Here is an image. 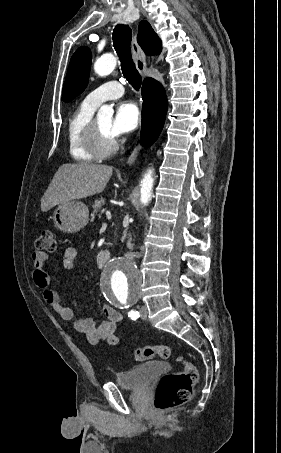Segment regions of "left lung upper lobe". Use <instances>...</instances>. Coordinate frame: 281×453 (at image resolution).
<instances>
[{
  "mask_svg": "<svg viewBox=\"0 0 281 453\" xmlns=\"http://www.w3.org/2000/svg\"><path fill=\"white\" fill-rule=\"evenodd\" d=\"M91 64V51L80 47L73 54L68 67L62 92V101L68 102L84 91L87 86Z\"/></svg>",
  "mask_w": 281,
  "mask_h": 453,
  "instance_id": "obj_1",
  "label": "left lung upper lobe"
}]
</instances>
